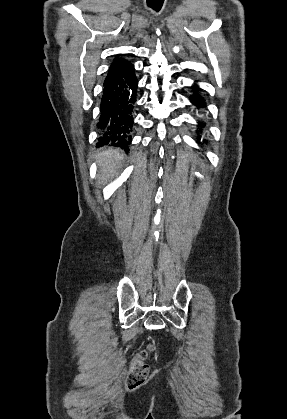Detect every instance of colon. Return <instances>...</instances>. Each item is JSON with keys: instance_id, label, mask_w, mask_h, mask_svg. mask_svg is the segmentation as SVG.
I'll list each match as a JSON object with an SVG mask.
<instances>
[{"instance_id": "5ec220e1", "label": "colon", "mask_w": 287, "mask_h": 419, "mask_svg": "<svg viewBox=\"0 0 287 419\" xmlns=\"http://www.w3.org/2000/svg\"><path fill=\"white\" fill-rule=\"evenodd\" d=\"M151 349L141 351L133 360L131 368L127 376V385L129 388H137L141 386L149 374V366L146 359Z\"/></svg>"}]
</instances>
